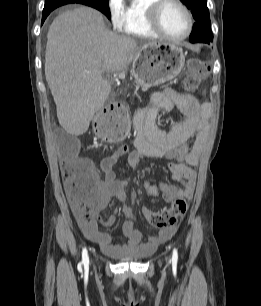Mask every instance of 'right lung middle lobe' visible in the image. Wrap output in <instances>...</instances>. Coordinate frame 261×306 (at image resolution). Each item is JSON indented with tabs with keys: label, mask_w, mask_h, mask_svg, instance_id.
Wrapping results in <instances>:
<instances>
[{
	"label": "right lung middle lobe",
	"mask_w": 261,
	"mask_h": 306,
	"mask_svg": "<svg viewBox=\"0 0 261 306\" xmlns=\"http://www.w3.org/2000/svg\"><path fill=\"white\" fill-rule=\"evenodd\" d=\"M70 3H80L84 4L90 7H93L99 11H101L103 14L107 16L108 19L111 18L110 9H109V2L108 0H74V1H68V0H45V6H44V12L45 11H52L55 8L70 4Z\"/></svg>",
	"instance_id": "obj_1"
}]
</instances>
